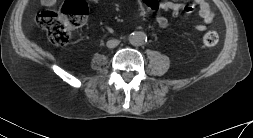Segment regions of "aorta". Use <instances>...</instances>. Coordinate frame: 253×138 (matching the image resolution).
Returning a JSON list of instances; mask_svg holds the SVG:
<instances>
[{"label": "aorta", "mask_w": 253, "mask_h": 138, "mask_svg": "<svg viewBox=\"0 0 253 138\" xmlns=\"http://www.w3.org/2000/svg\"><path fill=\"white\" fill-rule=\"evenodd\" d=\"M146 40H147L146 34L141 31L133 32L129 35V42L135 46H141L145 44Z\"/></svg>", "instance_id": "1"}]
</instances>
